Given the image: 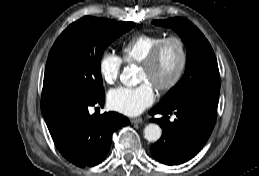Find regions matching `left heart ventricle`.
<instances>
[{"label":"left heart ventricle","instance_id":"obj_1","mask_svg":"<svg viewBox=\"0 0 259 176\" xmlns=\"http://www.w3.org/2000/svg\"><path fill=\"white\" fill-rule=\"evenodd\" d=\"M180 62V51L177 44L168 43L162 50L160 57L151 69L141 67L139 81L149 82L151 85L166 83L175 74Z\"/></svg>","mask_w":259,"mask_h":176}]
</instances>
